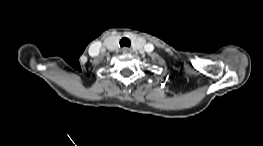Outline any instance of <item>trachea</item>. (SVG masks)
<instances>
[{
	"label": "trachea",
	"instance_id": "3493384b",
	"mask_svg": "<svg viewBox=\"0 0 263 146\" xmlns=\"http://www.w3.org/2000/svg\"><path fill=\"white\" fill-rule=\"evenodd\" d=\"M119 44L121 47H130L131 41L128 38L124 37L120 40Z\"/></svg>",
	"mask_w": 263,
	"mask_h": 146
}]
</instances>
